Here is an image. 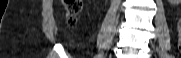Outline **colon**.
Listing matches in <instances>:
<instances>
[{
    "label": "colon",
    "instance_id": "1",
    "mask_svg": "<svg viewBox=\"0 0 181 58\" xmlns=\"http://www.w3.org/2000/svg\"><path fill=\"white\" fill-rule=\"evenodd\" d=\"M63 5L66 10L67 19L71 24L76 22L77 16L82 9L81 0H63ZM179 48L181 49V19L178 22Z\"/></svg>",
    "mask_w": 181,
    "mask_h": 58
}]
</instances>
